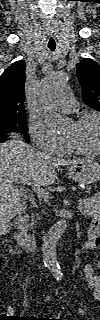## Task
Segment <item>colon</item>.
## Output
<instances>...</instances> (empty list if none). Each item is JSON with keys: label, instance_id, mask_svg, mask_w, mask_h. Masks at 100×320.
I'll list each match as a JSON object with an SVG mask.
<instances>
[{"label": "colon", "instance_id": "colon-1", "mask_svg": "<svg viewBox=\"0 0 100 320\" xmlns=\"http://www.w3.org/2000/svg\"><path fill=\"white\" fill-rule=\"evenodd\" d=\"M7 241L4 242L6 244ZM88 243L91 247H97L100 244V234L98 232V228L94 227L91 230V234L88 240ZM1 264H4V260L1 261Z\"/></svg>", "mask_w": 100, "mask_h": 320}]
</instances>
